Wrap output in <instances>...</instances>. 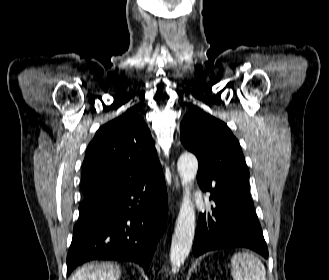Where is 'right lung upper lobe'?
<instances>
[{"label": "right lung upper lobe", "mask_w": 329, "mask_h": 280, "mask_svg": "<svg viewBox=\"0 0 329 280\" xmlns=\"http://www.w3.org/2000/svg\"><path fill=\"white\" fill-rule=\"evenodd\" d=\"M159 173L150 131L143 117L129 110L101 126L88 145L82 190L85 196L111 183L142 181Z\"/></svg>", "instance_id": "obj_1"}]
</instances>
